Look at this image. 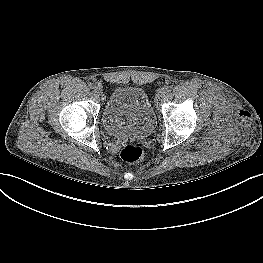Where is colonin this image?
Returning a JSON list of instances; mask_svg holds the SVG:
<instances>
[{
	"label": "colon",
	"mask_w": 263,
	"mask_h": 263,
	"mask_svg": "<svg viewBox=\"0 0 263 263\" xmlns=\"http://www.w3.org/2000/svg\"><path fill=\"white\" fill-rule=\"evenodd\" d=\"M120 157L126 162H138L143 157V151L137 145L128 144L121 150Z\"/></svg>",
	"instance_id": "5ec220e1"
}]
</instances>
